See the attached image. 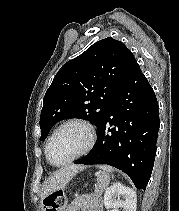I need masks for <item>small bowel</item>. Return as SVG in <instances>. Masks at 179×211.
Returning a JSON list of instances; mask_svg holds the SVG:
<instances>
[{"mask_svg":"<svg viewBox=\"0 0 179 211\" xmlns=\"http://www.w3.org/2000/svg\"><path fill=\"white\" fill-rule=\"evenodd\" d=\"M65 211H101V202L93 194H82L77 196Z\"/></svg>","mask_w":179,"mask_h":211,"instance_id":"small-bowel-1","label":"small bowel"}]
</instances>
